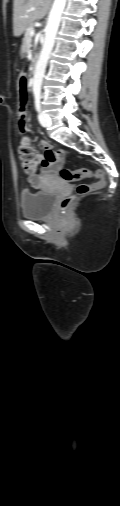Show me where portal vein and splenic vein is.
Returning a JSON list of instances; mask_svg holds the SVG:
<instances>
[{
	"mask_svg": "<svg viewBox=\"0 0 120 506\" xmlns=\"http://www.w3.org/2000/svg\"><path fill=\"white\" fill-rule=\"evenodd\" d=\"M34 10H35V7H30V8L27 10V12H31V11H34ZM33 35H34V30L32 29V30L30 31V36H33Z\"/></svg>",
	"mask_w": 120,
	"mask_h": 506,
	"instance_id": "portal-vein-and-splenic-vein-1",
	"label": "portal vein and splenic vein"
}]
</instances>
